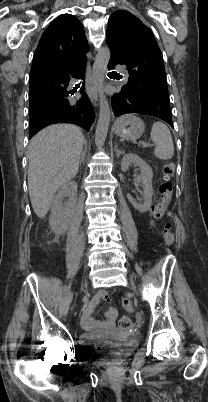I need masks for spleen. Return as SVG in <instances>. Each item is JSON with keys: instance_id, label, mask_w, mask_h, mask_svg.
<instances>
[{"instance_id": "spleen-1", "label": "spleen", "mask_w": 208, "mask_h": 402, "mask_svg": "<svg viewBox=\"0 0 208 402\" xmlns=\"http://www.w3.org/2000/svg\"><path fill=\"white\" fill-rule=\"evenodd\" d=\"M151 140L155 144V156L160 160H171L174 154L173 140L169 128L162 122H154Z\"/></svg>"}]
</instances>
